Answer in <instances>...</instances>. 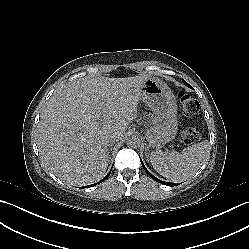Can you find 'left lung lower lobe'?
<instances>
[{
    "instance_id": "left-lung-lower-lobe-1",
    "label": "left lung lower lobe",
    "mask_w": 249,
    "mask_h": 249,
    "mask_svg": "<svg viewBox=\"0 0 249 249\" xmlns=\"http://www.w3.org/2000/svg\"><path fill=\"white\" fill-rule=\"evenodd\" d=\"M142 163V166L144 168V170L147 172V174L152 178L154 179L155 181L161 183V184H165V185H168V186H171L173 185V183H168V182H163V181H160L159 179H157L156 177H154L153 175H151V173L146 169V167L144 166L143 162L141 161Z\"/></svg>"
}]
</instances>
